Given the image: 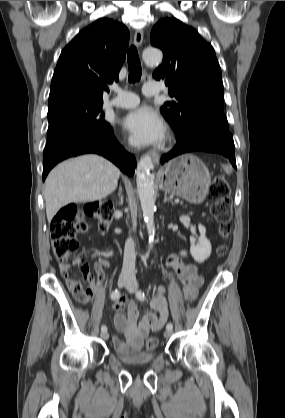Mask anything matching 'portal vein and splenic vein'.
I'll use <instances>...</instances> for the list:
<instances>
[{
  "instance_id": "portal-vein-and-splenic-vein-1",
  "label": "portal vein and splenic vein",
  "mask_w": 285,
  "mask_h": 418,
  "mask_svg": "<svg viewBox=\"0 0 285 418\" xmlns=\"http://www.w3.org/2000/svg\"><path fill=\"white\" fill-rule=\"evenodd\" d=\"M179 201H180L179 199H175V202H176V203H179Z\"/></svg>"
}]
</instances>
